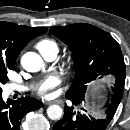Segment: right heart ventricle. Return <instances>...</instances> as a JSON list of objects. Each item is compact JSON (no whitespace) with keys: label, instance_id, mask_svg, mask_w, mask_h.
<instances>
[{"label":"right heart ventricle","instance_id":"e07e8e85","mask_svg":"<svg viewBox=\"0 0 130 130\" xmlns=\"http://www.w3.org/2000/svg\"><path fill=\"white\" fill-rule=\"evenodd\" d=\"M36 48L38 49V51L41 53L42 56L52 51L55 52L58 51L57 43L49 38L39 40L36 44Z\"/></svg>","mask_w":130,"mask_h":130}]
</instances>
